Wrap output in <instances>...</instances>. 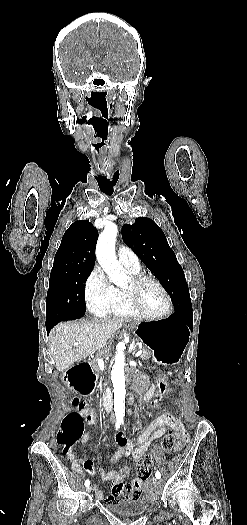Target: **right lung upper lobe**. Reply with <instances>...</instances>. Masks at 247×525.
Masks as SVG:
<instances>
[{"instance_id": "1", "label": "right lung upper lobe", "mask_w": 247, "mask_h": 525, "mask_svg": "<svg viewBox=\"0 0 247 525\" xmlns=\"http://www.w3.org/2000/svg\"><path fill=\"white\" fill-rule=\"evenodd\" d=\"M97 237L95 227L88 220L75 221L63 235L52 271H92Z\"/></svg>"}]
</instances>
